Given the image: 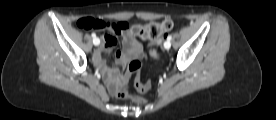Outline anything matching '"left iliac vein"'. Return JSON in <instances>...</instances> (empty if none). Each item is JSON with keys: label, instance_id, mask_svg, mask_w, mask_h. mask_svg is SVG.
Wrapping results in <instances>:
<instances>
[{"label": "left iliac vein", "instance_id": "1", "mask_svg": "<svg viewBox=\"0 0 276 120\" xmlns=\"http://www.w3.org/2000/svg\"><path fill=\"white\" fill-rule=\"evenodd\" d=\"M164 44L166 45V47L164 46L165 49H169L171 47V43L169 41H166Z\"/></svg>", "mask_w": 276, "mask_h": 120}]
</instances>
